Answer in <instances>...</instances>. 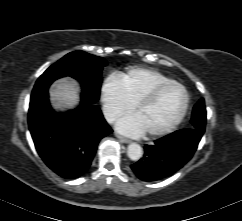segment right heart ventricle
<instances>
[{
  "instance_id": "e07e8e85",
  "label": "right heart ventricle",
  "mask_w": 242,
  "mask_h": 221,
  "mask_svg": "<svg viewBox=\"0 0 242 221\" xmlns=\"http://www.w3.org/2000/svg\"><path fill=\"white\" fill-rule=\"evenodd\" d=\"M115 79L133 105L156 85L171 81L164 74L146 68L129 70L126 73L119 74Z\"/></svg>"
}]
</instances>
